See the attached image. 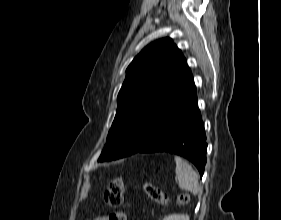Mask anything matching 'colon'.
Listing matches in <instances>:
<instances>
[{"label": "colon", "mask_w": 281, "mask_h": 220, "mask_svg": "<svg viewBox=\"0 0 281 220\" xmlns=\"http://www.w3.org/2000/svg\"><path fill=\"white\" fill-rule=\"evenodd\" d=\"M144 190L148 197L159 204L167 203V195L152 183H145ZM124 194V179L121 176L115 177L104 193V202L110 209L108 220H126V214L121 210ZM190 200L187 193L180 194L177 198L179 204H186Z\"/></svg>", "instance_id": "1"}]
</instances>
